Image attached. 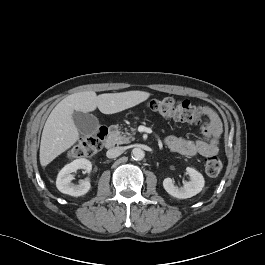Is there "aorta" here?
Listing matches in <instances>:
<instances>
[{
	"mask_svg": "<svg viewBox=\"0 0 265 265\" xmlns=\"http://www.w3.org/2000/svg\"><path fill=\"white\" fill-rule=\"evenodd\" d=\"M145 156V152L141 148H134L132 150V157L135 160H142Z\"/></svg>",
	"mask_w": 265,
	"mask_h": 265,
	"instance_id": "obj_1",
	"label": "aorta"
}]
</instances>
